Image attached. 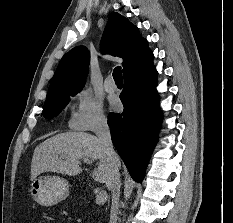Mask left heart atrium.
Segmentation results:
<instances>
[{
	"mask_svg": "<svg viewBox=\"0 0 233 223\" xmlns=\"http://www.w3.org/2000/svg\"><path fill=\"white\" fill-rule=\"evenodd\" d=\"M111 108L113 111H117L118 110V103L116 101H113L111 103Z\"/></svg>",
	"mask_w": 233,
	"mask_h": 223,
	"instance_id": "left-heart-atrium-1",
	"label": "left heart atrium"
}]
</instances>
